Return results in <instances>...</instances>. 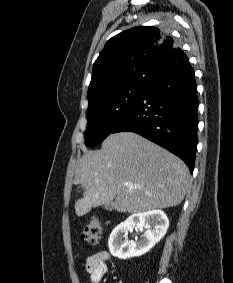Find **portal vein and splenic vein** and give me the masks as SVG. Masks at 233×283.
Returning a JSON list of instances; mask_svg holds the SVG:
<instances>
[{
	"label": "portal vein and splenic vein",
	"instance_id": "obj_1",
	"mask_svg": "<svg viewBox=\"0 0 233 283\" xmlns=\"http://www.w3.org/2000/svg\"><path fill=\"white\" fill-rule=\"evenodd\" d=\"M129 189L140 188V185L126 184Z\"/></svg>",
	"mask_w": 233,
	"mask_h": 283
}]
</instances>
